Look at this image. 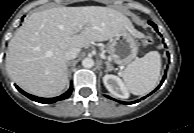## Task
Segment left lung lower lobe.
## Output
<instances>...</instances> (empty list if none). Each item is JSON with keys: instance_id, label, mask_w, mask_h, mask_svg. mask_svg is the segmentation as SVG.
<instances>
[{"instance_id": "obj_1", "label": "left lung lower lobe", "mask_w": 194, "mask_h": 133, "mask_svg": "<svg viewBox=\"0 0 194 133\" xmlns=\"http://www.w3.org/2000/svg\"><path fill=\"white\" fill-rule=\"evenodd\" d=\"M151 26H153L154 27V29L156 30V31H158L157 30V26L153 23V22H151V21H149L148 22ZM165 77H166V73H165V75H164V77H163V79H162V82L160 83V85L154 90V91H156L161 85H162V83L164 82V79H165ZM153 91V92H154ZM152 92V93H153ZM151 94V93H150ZM148 96V95H147ZM147 96H145V97H143L142 99H144V98H146ZM106 97H108V96H106ZM108 98H110V97H108ZM140 100H136V101H134V102H122V101H120V103H122V104H134V103H137V102H139Z\"/></svg>"}]
</instances>
